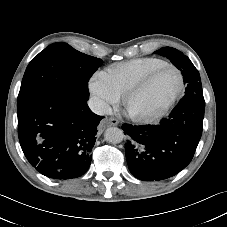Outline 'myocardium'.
I'll return each mask as SVG.
<instances>
[{"instance_id": "myocardium-1", "label": "myocardium", "mask_w": 227, "mask_h": 227, "mask_svg": "<svg viewBox=\"0 0 227 227\" xmlns=\"http://www.w3.org/2000/svg\"><path fill=\"white\" fill-rule=\"evenodd\" d=\"M165 69H174L178 73V76H179V86H178L176 93L173 95V97L157 113L150 114V115H141V114L131 113L127 107L129 101L134 96H136L141 91H143L152 82V80ZM184 84H185L184 76H183L182 71L173 64H166L164 66H161V67L151 71L144 78H142L138 83H136L129 90H127L126 93L123 95V105L128 110L130 117L136 121L146 122V123L157 121V120L161 119L162 117H164L170 111V109L173 107V105L176 103V101L180 98V96L182 95L183 90H184Z\"/></svg>"}]
</instances>
